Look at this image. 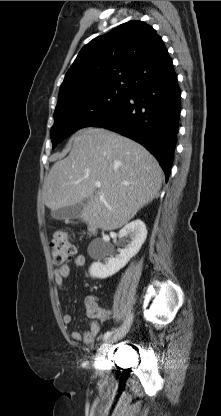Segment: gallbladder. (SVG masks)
Returning a JSON list of instances; mask_svg holds the SVG:
<instances>
[{
  "mask_svg": "<svg viewBox=\"0 0 221 416\" xmlns=\"http://www.w3.org/2000/svg\"><path fill=\"white\" fill-rule=\"evenodd\" d=\"M86 202L77 203L72 206L62 207L51 211L52 218L56 220L77 219L81 216L82 210Z\"/></svg>",
  "mask_w": 221,
  "mask_h": 416,
  "instance_id": "obj_1",
  "label": "gallbladder"
}]
</instances>
